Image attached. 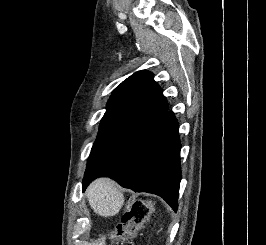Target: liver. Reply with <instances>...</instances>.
Instances as JSON below:
<instances>
[{"mask_svg": "<svg viewBox=\"0 0 266 245\" xmlns=\"http://www.w3.org/2000/svg\"><path fill=\"white\" fill-rule=\"evenodd\" d=\"M86 197L91 209L100 217H114L123 207L124 197L110 179H96L89 185Z\"/></svg>", "mask_w": 266, "mask_h": 245, "instance_id": "liver-1", "label": "liver"}]
</instances>
